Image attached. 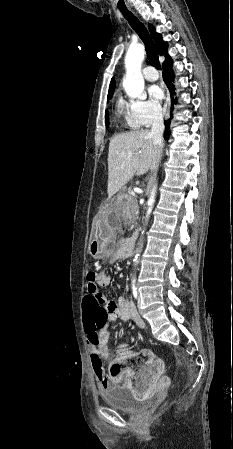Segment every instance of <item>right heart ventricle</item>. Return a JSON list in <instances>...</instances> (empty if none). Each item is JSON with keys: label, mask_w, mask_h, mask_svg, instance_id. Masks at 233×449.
<instances>
[{"label": "right heart ventricle", "mask_w": 233, "mask_h": 449, "mask_svg": "<svg viewBox=\"0 0 233 449\" xmlns=\"http://www.w3.org/2000/svg\"><path fill=\"white\" fill-rule=\"evenodd\" d=\"M115 109L117 115L120 117L122 121V125L125 128L129 129H138L140 127V123L137 120L134 111L132 102L126 101L122 97H118Z\"/></svg>", "instance_id": "1"}]
</instances>
